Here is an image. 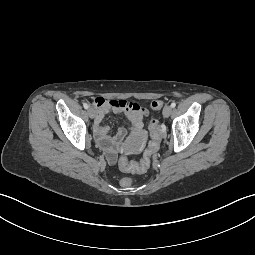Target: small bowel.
<instances>
[{"label":"small bowel","mask_w":255,"mask_h":255,"mask_svg":"<svg viewBox=\"0 0 255 255\" xmlns=\"http://www.w3.org/2000/svg\"><path fill=\"white\" fill-rule=\"evenodd\" d=\"M95 107V116L93 124L94 135L107 154L110 163L116 162V151L124 142L127 136V129L120 128L114 137H110L108 127L102 124L103 118L107 113L124 114L131 126L132 140L130 141L133 147L140 145L143 137V118L146 114L144 107L136 102L118 99H105L96 97L92 101Z\"/></svg>","instance_id":"small-bowel-1"}]
</instances>
